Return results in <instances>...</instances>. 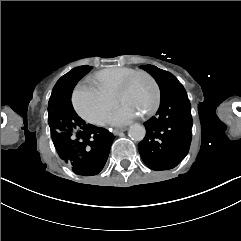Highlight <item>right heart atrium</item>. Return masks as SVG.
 I'll use <instances>...</instances> for the list:
<instances>
[{"label": "right heart atrium", "instance_id": "right-heart-atrium-1", "mask_svg": "<svg viewBox=\"0 0 241 241\" xmlns=\"http://www.w3.org/2000/svg\"><path fill=\"white\" fill-rule=\"evenodd\" d=\"M104 95L107 97L105 98ZM115 95L110 92H102L94 84L81 85L73 92V106L78 115L86 122L101 125L107 119Z\"/></svg>", "mask_w": 241, "mask_h": 241}]
</instances>
